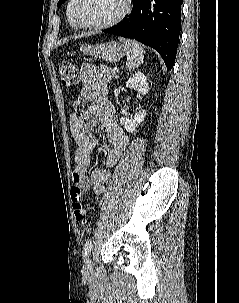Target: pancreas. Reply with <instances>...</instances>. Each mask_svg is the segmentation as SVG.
Segmentation results:
<instances>
[{
    "label": "pancreas",
    "instance_id": "pancreas-1",
    "mask_svg": "<svg viewBox=\"0 0 239 303\" xmlns=\"http://www.w3.org/2000/svg\"><path fill=\"white\" fill-rule=\"evenodd\" d=\"M113 69L100 65V75L105 82H110L114 77H116V73L112 71Z\"/></svg>",
    "mask_w": 239,
    "mask_h": 303
}]
</instances>
